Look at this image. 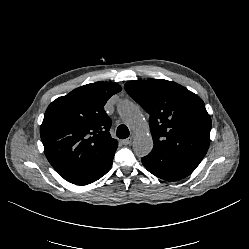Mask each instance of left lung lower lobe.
Here are the masks:
<instances>
[{
    "mask_svg": "<svg viewBox=\"0 0 249 249\" xmlns=\"http://www.w3.org/2000/svg\"><path fill=\"white\" fill-rule=\"evenodd\" d=\"M142 163L149 172L166 181L183 179L199 165L198 162L181 159L161 151H152L142 158Z\"/></svg>",
    "mask_w": 249,
    "mask_h": 249,
    "instance_id": "left-lung-lower-lobe-1",
    "label": "left lung lower lobe"
}]
</instances>
